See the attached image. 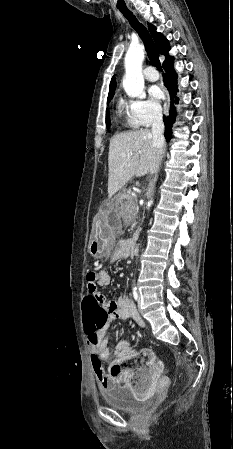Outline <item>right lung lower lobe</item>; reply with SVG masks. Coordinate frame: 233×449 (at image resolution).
I'll list each match as a JSON object with an SVG mask.
<instances>
[{
	"mask_svg": "<svg viewBox=\"0 0 233 449\" xmlns=\"http://www.w3.org/2000/svg\"><path fill=\"white\" fill-rule=\"evenodd\" d=\"M173 62L163 66V68L166 72L164 82L169 91L170 99H171L170 115L168 118H166L165 116L163 117L164 124H165V133L164 134H165V137H167V140H170V138H171V134H172L171 127H172V123L175 121L176 108L174 105L177 104L178 100H179L178 97H175L178 89H177V85H176L177 74L173 68Z\"/></svg>",
	"mask_w": 233,
	"mask_h": 449,
	"instance_id": "right-lung-lower-lobe-1",
	"label": "right lung lower lobe"
}]
</instances>
